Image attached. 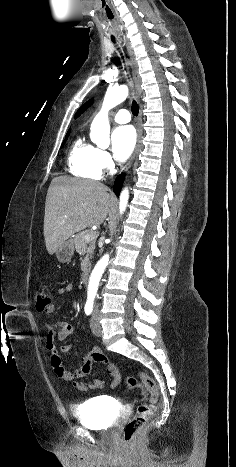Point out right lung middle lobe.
<instances>
[{
	"label": "right lung middle lobe",
	"instance_id": "1",
	"mask_svg": "<svg viewBox=\"0 0 236 467\" xmlns=\"http://www.w3.org/2000/svg\"><path fill=\"white\" fill-rule=\"evenodd\" d=\"M68 134H69V133H67L66 138H65V140L63 141L62 146L64 145V143H65V141H66V139H67V137H68Z\"/></svg>",
	"mask_w": 236,
	"mask_h": 467
}]
</instances>
